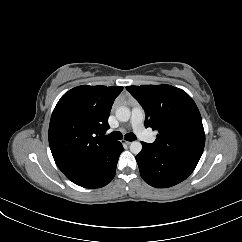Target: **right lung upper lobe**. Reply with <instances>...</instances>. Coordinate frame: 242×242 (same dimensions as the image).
<instances>
[{"instance_id": "1", "label": "right lung upper lobe", "mask_w": 242, "mask_h": 242, "mask_svg": "<svg viewBox=\"0 0 242 242\" xmlns=\"http://www.w3.org/2000/svg\"><path fill=\"white\" fill-rule=\"evenodd\" d=\"M123 87H75L58 101L50 120L49 145L58 168L68 173L115 141L104 137L108 117Z\"/></svg>"}]
</instances>
